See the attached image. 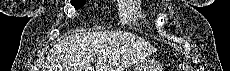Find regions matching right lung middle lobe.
<instances>
[{
  "label": "right lung middle lobe",
  "instance_id": "obj_1",
  "mask_svg": "<svg viewBox=\"0 0 230 71\" xmlns=\"http://www.w3.org/2000/svg\"><path fill=\"white\" fill-rule=\"evenodd\" d=\"M85 3L86 0H71V4L75 7V9H80Z\"/></svg>",
  "mask_w": 230,
  "mask_h": 71
}]
</instances>
